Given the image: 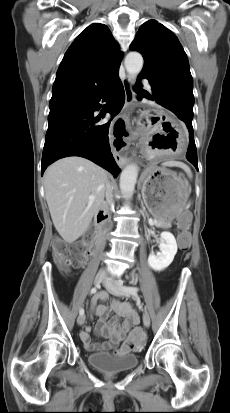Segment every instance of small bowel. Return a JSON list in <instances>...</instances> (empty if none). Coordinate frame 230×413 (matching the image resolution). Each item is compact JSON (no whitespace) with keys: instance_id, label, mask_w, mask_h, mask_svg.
<instances>
[{"instance_id":"obj_1","label":"small bowel","mask_w":230,"mask_h":413,"mask_svg":"<svg viewBox=\"0 0 230 413\" xmlns=\"http://www.w3.org/2000/svg\"><path fill=\"white\" fill-rule=\"evenodd\" d=\"M97 300H109V305L97 304ZM91 309L98 317L96 334L106 338V342H95L90 337L91 327L85 326L80 333V338L84 347L89 351H112L115 354H129L131 349L127 345V340H123L124 335L139 322L137 313L127 302H122L116 298H109L105 292L99 293L92 301ZM113 311L114 316L109 318V313ZM123 317L124 321L119 324L118 318Z\"/></svg>"}]
</instances>
